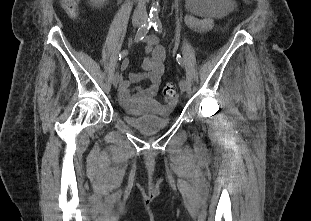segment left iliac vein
I'll return each instance as SVG.
<instances>
[{"instance_id": "obj_1", "label": "left iliac vein", "mask_w": 311, "mask_h": 221, "mask_svg": "<svg viewBox=\"0 0 311 221\" xmlns=\"http://www.w3.org/2000/svg\"><path fill=\"white\" fill-rule=\"evenodd\" d=\"M179 86L182 92H185L188 89V83L186 80H181Z\"/></svg>"}]
</instances>
